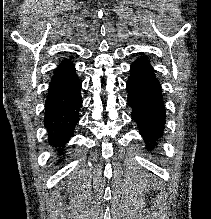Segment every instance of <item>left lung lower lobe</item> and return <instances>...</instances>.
Segmentation results:
<instances>
[{
    "instance_id": "left-lung-lower-lobe-1",
    "label": "left lung lower lobe",
    "mask_w": 211,
    "mask_h": 219,
    "mask_svg": "<svg viewBox=\"0 0 211 219\" xmlns=\"http://www.w3.org/2000/svg\"><path fill=\"white\" fill-rule=\"evenodd\" d=\"M127 81L128 104L132 119L137 122L140 134L151 151L152 143L160 138L165 126V108L161 86L149 62L140 58L132 63Z\"/></svg>"
}]
</instances>
